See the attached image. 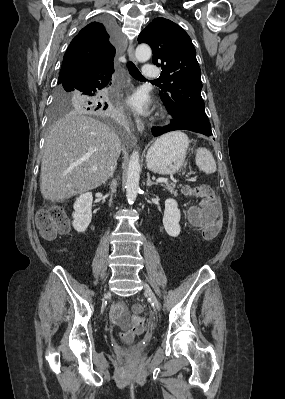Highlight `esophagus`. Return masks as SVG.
Returning a JSON list of instances; mask_svg holds the SVG:
<instances>
[{
    "instance_id": "1",
    "label": "esophagus",
    "mask_w": 285,
    "mask_h": 399,
    "mask_svg": "<svg viewBox=\"0 0 285 399\" xmlns=\"http://www.w3.org/2000/svg\"><path fill=\"white\" fill-rule=\"evenodd\" d=\"M127 53H128V57H129L130 61L133 62L134 64H136L137 60H136V57H135L134 45L133 44H131L128 47ZM135 122H136L137 130L140 133H143V131H144V123H143V121L140 118L136 117Z\"/></svg>"
}]
</instances>
